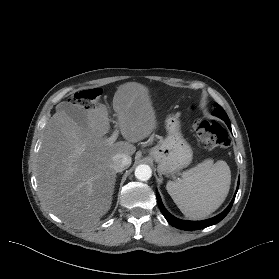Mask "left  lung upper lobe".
I'll return each mask as SVG.
<instances>
[{
	"label": "left lung upper lobe",
	"mask_w": 279,
	"mask_h": 279,
	"mask_svg": "<svg viewBox=\"0 0 279 279\" xmlns=\"http://www.w3.org/2000/svg\"><path fill=\"white\" fill-rule=\"evenodd\" d=\"M215 106L216 109L214 110L213 115L221 118L226 124L230 123L229 118L223 108L218 104H215Z\"/></svg>",
	"instance_id": "1"
}]
</instances>
